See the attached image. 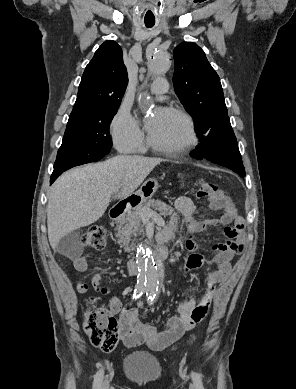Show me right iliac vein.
<instances>
[{
	"label": "right iliac vein",
	"instance_id": "right-iliac-vein-1",
	"mask_svg": "<svg viewBox=\"0 0 296 389\" xmlns=\"http://www.w3.org/2000/svg\"><path fill=\"white\" fill-rule=\"evenodd\" d=\"M101 389H109V381L105 380L104 383L102 384Z\"/></svg>",
	"mask_w": 296,
	"mask_h": 389
}]
</instances>
